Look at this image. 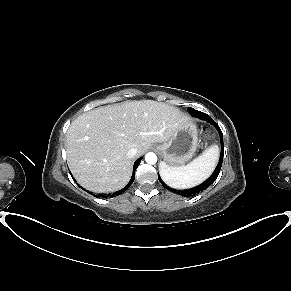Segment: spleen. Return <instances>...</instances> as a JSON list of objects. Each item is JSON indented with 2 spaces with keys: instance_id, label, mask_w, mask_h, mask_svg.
I'll list each match as a JSON object with an SVG mask.
<instances>
[{
  "instance_id": "spleen-1",
  "label": "spleen",
  "mask_w": 291,
  "mask_h": 291,
  "mask_svg": "<svg viewBox=\"0 0 291 291\" xmlns=\"http://www.w3.org/2000/svg\"><path fill=\"white\" fill-rule=\"evenodd\" d=\"M217 160L218 147L214 145L187 165L170 167L165 163H161L159 167L160 176L172 188H192L211 175Z\"/></svg>"
}]
</instances>
